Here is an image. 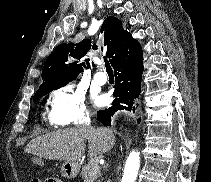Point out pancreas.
I'll return each mask as SVG.
<instances>
[{
    "instance_id": "1",
    "label": "pancreas",
    "mask_w": 211,
    "mask_h": 182,
    "mask_svg": "<svg viewBox=\"0 0 211 182\" xmlns=\"http://www.w3.org/2000/svg\"><path fill=\"white\" fill-rule=\"evenodd\" d=\"M98 161L99 157H95L82 167L80 175L85 182H96L101 176Z\"/></svg>"
}]
</instances>
